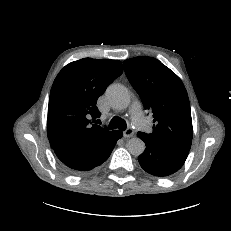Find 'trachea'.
Here are the masks:
<instances>
[{"instance_id": "obj_1", "label": "trachea", "mask_w": 231, "mask_h": 231, "mask_svg": "<svg viewBox=\"0 0 231 231\" xmlns=\"http://www.w3.org/2000/svg\"><path fill=\"white\" fill-rule=\"evenodd\" d=\"M126 127H127L126 122L123 119H121V118H119L117 116L113 117L112 120L109 123V128L110 129L118 128L120 130H125Z\"/></svg>"}]
</instances>
